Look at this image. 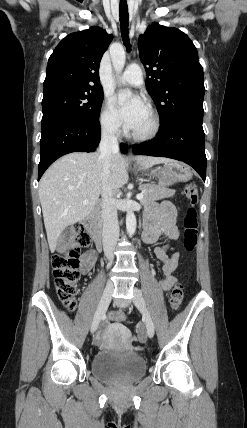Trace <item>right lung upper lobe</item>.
Wrapping results in <instances>:
<instances>
[{"label": "right lung upper lobe", "mask_w": 247, "mask_h": 428, "mask_svg": "<svg viewBox=\"0 0 247 428\" xmlns=\"http://www.w3.org/2000/svg\"><path fill=\"white\" fill-rule=\"evenodd\" d=\"M112 38L98 27L66 36L49 58L44 92L67 86L101 89L99 62Z\"/></svg>", "instance_id": "cb5924a9"}]
</instances>
